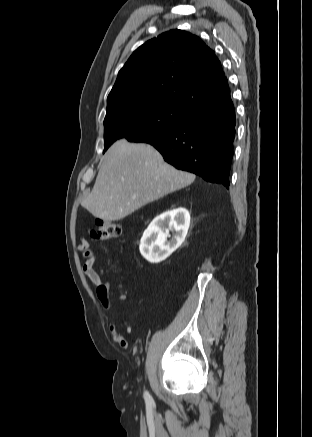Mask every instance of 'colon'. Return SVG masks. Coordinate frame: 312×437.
Segmentation results:
<instances>
[{
	"label": "colon",
	"mask_w": 312,
	"mask_h": 437,
	"mask_svg": "<svg viewBox=\"0 0 312 437\" xmlns=\"http://www.w3.org/2000/svg\"><path fill=\"white\" fill-rule=\"evenodd\" d=\"M121 227L118 223L97 219L91 235L97 240H113L120 236Z\"/></svg>",
	"instance_id": "1"
}]
</instances>
